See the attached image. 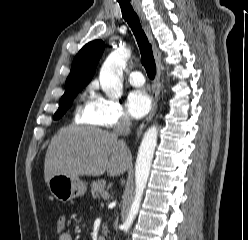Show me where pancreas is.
<instances>
[{
    "mask_svg": "<svg viewBox=\"0 0 248 240\" xmlns=\"http://www.w3.org/2000/svg\"><path fill=\"white\" fill-rule=\"evenodd\" d=\"M105 191V181L98 180L91 184V193L94 198H98L99 195H103Z\"/></svg>",
    "mask_w": 248,
    "mask_h": 240,
    "instance_id": "1",
    "label": "pancreas"
}]
</instances>
